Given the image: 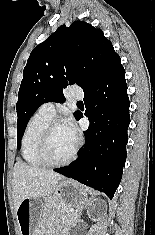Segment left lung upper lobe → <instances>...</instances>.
Instances as JSON below:
<instances>
[{
    "mask_svg": "<svg viewBox=\"0 0 155 235\" xmlns=\"http://www.w3.org/2000/svg\"><path fill=\"white\" fill-rule=\"evenodd\" d=\"M119 55L102 30L83 21L60 26L37 45L24 68L17 110V148L34 112L46 102L65 101L63 88L92 87ZM79 111L74 113L77 119Z\"/></svg>",
    "mask_w": 155,
    "mask_h": 235,
    "instance_id": "5c2ea615",
    "label": "left lung upper lobe"
}]
</instances>
